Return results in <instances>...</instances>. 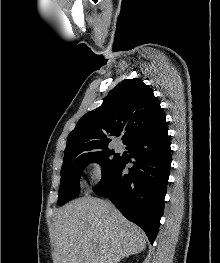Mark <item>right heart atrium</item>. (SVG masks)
Returning <instances> with one entry per match:
<instances>
[{
	"label": "right heart atrium",
	"instance_id": "1",
	"mask_svg": "<svg viewBox=\"0 0 220 263\" xmlns=\"http://www.w3.org/2000/svg\"><path fill=\"white\" fill-rule=\"evenodd\" d=\"M90 181L96 186L101 183L104 177V167L101 162L93 160L88 165Z\"/></svg>",
	"mask_w": 220,
	"mask_h": 263
}]
</instances>
